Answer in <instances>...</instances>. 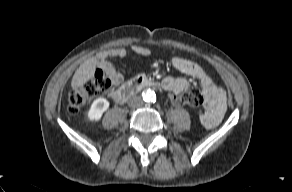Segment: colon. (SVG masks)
I'll list each match as a JSON object with an SVG mask.
<instances>
[{
	"instance_id": "1",
	"label": "colon",
	"mask_w": 292,
	"mask_h": 192,
	"mask_svg": "<svg viewBox=\"0 0 292 192\" xmlns=\"http://www.w3.org/2000/svg\"><path fill=\"white\" fill-rule=\"evenodd\" d=\"M112 81L103 69H98L94 76L83 85L72 89L68 94L67 109L71 114H77L92 98L110 88ZM171 100L176 105L200 106L205 102L202 91L197 87H189Z\"/></svg>"
}]
</instances>
